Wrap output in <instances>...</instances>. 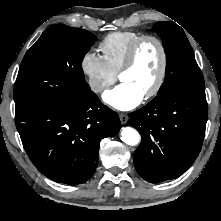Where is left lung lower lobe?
Returning <instances> with one entry per match:
<instances>
[{"instance_id": "obj_1", "label": "left lung lower lobe", "mask_w": 221, "mask_h": 221, "mask_svg": "<svg viewBox=\"0 0 221 221\" xmlns=\"http://www.w3.org/2000/svg\"><path fill=\"white\" fill-rule=\"evenodd\" d=\"M205 94L169 90L130 114L142 140L134 153L138 174L158 183L183 174L198 156L206 129Z\"/></svg>"}]
</instances>
